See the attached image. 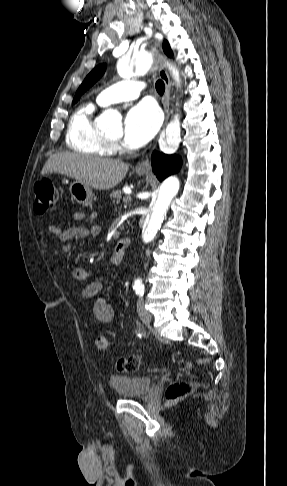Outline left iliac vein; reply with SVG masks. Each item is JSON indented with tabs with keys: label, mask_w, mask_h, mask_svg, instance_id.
Masks as SVG:
<instances>
[{
	"label": "left iliac vein",
	"mask_w": 287,
	"mask_h": 486,
	"mask_svg": "<svg viewBox=\"0 0 287 486\" xmlns=\"http://www.w3.org/2000/svg\"><path fill=\"white\" fill-rule=\"evenodd\" d=\"M137 311L141 321L145 324H149L152 320L151 313L145 308L144 300L141 298L137 302Z\"/></svg>",
	"instance_id": "obj_1"
}]
</instances>
